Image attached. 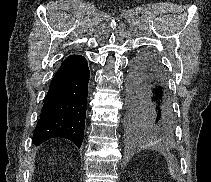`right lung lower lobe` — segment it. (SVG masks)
Wrapping results in <instances>:
<instances>
[{"instance_id":"right-lung-lower-lobe-1","label":"right lung lower lobe","mask_w":211,"mask_h":182,"mask_svg":"<svg viewBox=\"0 0 211 182\" xmlns=\"http://www.w3.org/2000/svg\"><path fill=\"white\" fill-rule=\"evenodd\" d=\"M89 77L88 64L83 56L71 55L62 62L45 96L33 135L35 145L54 137H64L81 147Z\"/></svg>"}]
</instances>
